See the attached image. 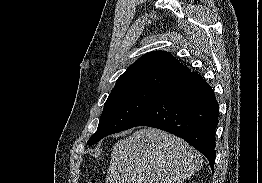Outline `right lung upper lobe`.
Returning <instances> with one entry per match:
<instances>
[{"label": "right lung upper lobe", "mask_w": 262, "mask_h": 183, "mask_svg": "<svg viewBox=\"0 0 262 183\" xmlns=\"http://www.w3.org/2000/svg\"><path fill=\"white\" fill-rule=\"evenodd\" d=\"M190 70L165 51L147 53L134 62L117 80L112 93L156 90L189 73Z\"/></svg>", "instance_id": "cb5924a9"}]
</instances>
